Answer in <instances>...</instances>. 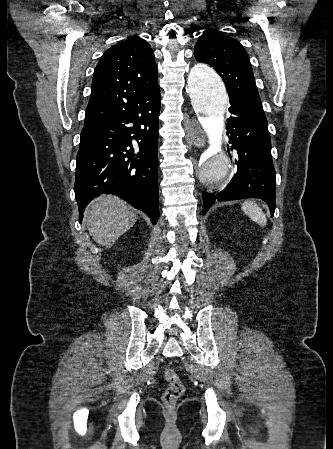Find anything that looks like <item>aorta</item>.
Instances as JSON below:
<instances>
[{"label": "aorta", "instance_id": "obj_1", "mask_svg": "<svg viewBox=\"0 0 333 449\" xmlns=\"http://www.w3.org/2000/svg\"><path fill=\"white\" fill-rule=\"evenodd\" d=\"M187 93L197 112L199 121L210 122L213 147L200 155L194 166L196 180L209 191H217L226 186L231 160L220 147L221 123L228 106V96L221 78L206 64H196L187 79Z\"/></svg>", "mask_w": 333, "mask_h": 449}]
</instances>
